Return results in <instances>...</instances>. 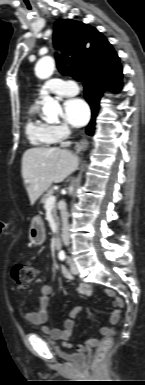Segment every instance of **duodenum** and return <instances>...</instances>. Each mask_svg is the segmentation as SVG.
<instances>
[{"label": "duodenum", "mask_w": 145, "mask_h": 385, "mask_svg": "<svg viewBox=\"0 0 145 385\" xmlns=\"http://www.w3.org/2000/svg\"><path fill=\"white\" fill-rule=\"evenodd\" d=\"M62 245V241L59 235L55 237L54 246L56 250H60Z\"/></svg>", "instance_id": "obj_1"}]
</instances>
